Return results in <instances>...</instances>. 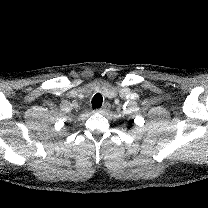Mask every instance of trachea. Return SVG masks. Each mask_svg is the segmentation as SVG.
<instances>
[{"instance_id":"3493384b","label":"trachea","mask_w":208,"mask_h":208,"mask_svg":"<svg viewBox=\"0 0 208 208\" xmlns=\"http://www.w3.org/2000/svg\"><path fill=\"white\" fill-rule=\"evenodd\" d=\"M102 103H103L102 95L99 94V93L94 95V97L92 98V108L93 109H98L102 106Z\"/></svg>"}]
</instances>
